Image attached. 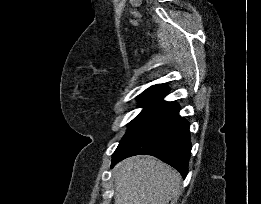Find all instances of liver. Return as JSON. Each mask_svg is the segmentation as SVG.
Instances as JSON below:
<instances>
[{
  "label": "liver",
  "instance_id": "obj_1",
  "mask_svg": "<svg viewBox=\"0 0 261 204\" xmlns=\"http://www.w3.org/2000/svg\"><path fill=\"white\" fill-rule=\"evenodd\" d=\"M114 204H169L180 194L181 177L162 161L129 157L114 168Z\"/></svg>",
  "mask_w": 261,
  "mask_h": 204
}]
</instances>
